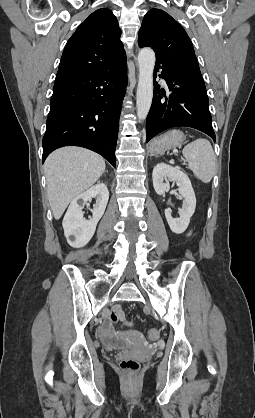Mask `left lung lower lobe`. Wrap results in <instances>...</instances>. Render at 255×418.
I'll use <instances>...</instances> for the list:
<instances>
[{
    "label": "left lung lower lobe",
    "instance_id": "0a47b994",
    "mask_svg": "<svg viewBox=\"0 0 255 418\" xmlns=\"http://www.w3.org/2000/svg\"><path fill=\"white\" fill-rule=\"evenodd\" d=\"M170 94L155 81L159 70ZM154 94L146 122V142L160 132L176 126L198 129L215 141L209 99L197 58L156 60Z\"/></svg>",
    "mask_w": 255,
    "mask_h": 418
}]
</instances>
